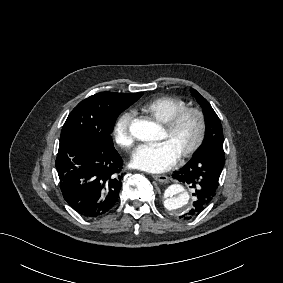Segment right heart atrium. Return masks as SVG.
I'll return each instance as SVG.
<instances>
[{
  "instance_id": "1",
  "label": "right heart atrium",
  "mask_w": 283,
  "mask_h": 283,
  "mask_svg": "<svg viewBox=\"0 0 283 283\" xmlns=\"http://www.w3.org/2000/svg\"><path fill=\"white\" fill-rule=\"evenodd\" d=\"M132 120L133 113L130 110H124L117 116L112 126L113 142L125 152L130 151L134 142L130 131Z\"/></svg>"
}]
</instances>
